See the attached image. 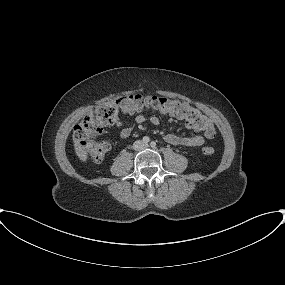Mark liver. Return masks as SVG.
I'll use <instances>...</instances> for the list:
<instances>
[{
    "instance_id": "obj_1",
    "label": "liver",
    "mask_w": 285,
    "mask_h": 285,
    "mask_svg": "<svg viewBox=\"0 0 285 285\" xmlns=\"http://www.w3.org/2000/svg\"><path fill=\"white\" fill-rule=\"evenodd\" d=\"M74 148L78 158L85 162L88 158L87 151L79 144V140L74 139Z\"/></svg>"
}]
</instances>
